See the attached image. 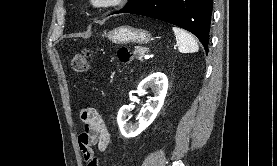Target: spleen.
Wrapping results in <instances>:
<instances>
[{"instance_id":"3e777b00","label":"spleen","mask_w":277,"mask_h":166,"mask_svg":"<svg viewBox=\"0 0 277 166\" xmlns=\"http://www.w3.org/2000/svg\"><path fill=\"white\" fill-rule=\"evenodd\" d=\"M173 32L176 37L178 50L181 53H194L199 50L197 41L188 32L178 27H173Z\"/></svg>"}]
</instances>
